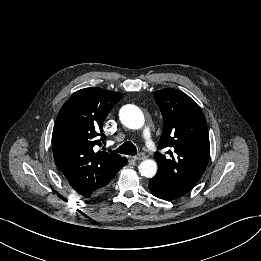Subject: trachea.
Instances as JSON below:
<instances>
[{
	"mask_svg": "<svg viewBox=\"0 0 261 261\" xmlns=\"http://www.w3.org/2000/svg\"><path fill=\"white\" fill-rule=\"evenodd\" d=\"M115 152L134 156L137 154V149L132 142H125Z\"/></svg>",
	"mask_w": 261,
	"mask_h": 261,
	"instance_id": "obj_1",
	"label": "trachea"
}]
</instances>
